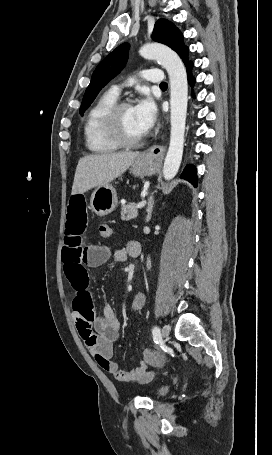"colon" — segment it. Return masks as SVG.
<instances>
[{
	"label": "colon",
	"instance_id": "colon-1",
	"mask_svg": "<svg viewBox=\"0 0 272 455\" xmlns=\"http://www.w3.org/2000/svg\"><path fill=\"white\" fill-rule=\"evenodd\" d=\"M99 234L102 239H108L112 234V230L107 223H101L99 225ZM142 356L143 360L148 364H158L162 360L160 355L153 350H144Z\"/></svg>",
	"mask_w": 272,
	"mask_h": 455
}]
</instances>
